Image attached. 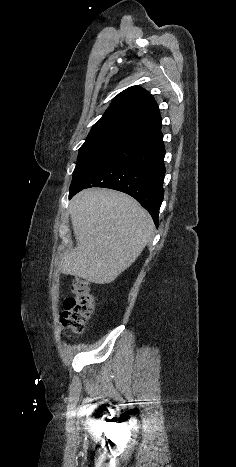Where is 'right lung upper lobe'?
Listing matches in <instances>:
<instances>
[{"label": "right lung upper lobe", "mask_w": 236, "mask_h": 467, "mask_svg": "<svg viewBox=\"0 0 236 467\" xmlns=\"http://www.w3.org/2000/svg\"><path fill=\"white\" fill-rule=\"evenodd\" d=\"M161 125V116L151 94L140 86H132L119 93L96 127H121L139 134Z\"/></svg>", "instance_id": "obj_1"}]
</instances>
